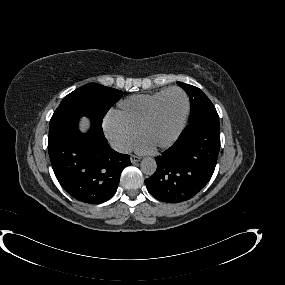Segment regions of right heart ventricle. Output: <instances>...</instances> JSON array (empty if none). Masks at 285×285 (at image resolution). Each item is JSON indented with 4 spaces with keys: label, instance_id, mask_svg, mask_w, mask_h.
Returning <instances> with one entry per match:
<instances>
[{
    "label": "right heart ventricle",
    "instance_id": "right-heart-ventricle-1",
    "mask_svg": "<svg viewBox=\"0 0 285 285\" xmlns=\"http://www.w3.org/2000/svg\"><path fill=\"white\" fill-rule=\"evenodd\" d=\"M165 90L167 89L155 93L133 95L122 100L118 104L115 117L125 127L137 133L151 107Z\"/></svg>",
    "mask_w": 285,
    "mask_h": 285
}]
</instances>
